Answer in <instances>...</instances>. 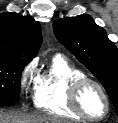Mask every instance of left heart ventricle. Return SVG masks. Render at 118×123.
<instances>
[{
  "mask_svg": "<svg viewBox=\"0 0 118 123\" xmlns=\"http://www.w3.org/2000/svg\"><path fill=\"white\" fill-rule=\"evenodd\" d=\"M83 109L92 116H100L105 111V101L100 91L93 85H87L81 94Z\"/></svg>",
  "mask_w": 118,
  "mask_h": 123,
  "instance_id": "b2bd125f",
  "label": "left heart ventricle"
}]
</instances>
